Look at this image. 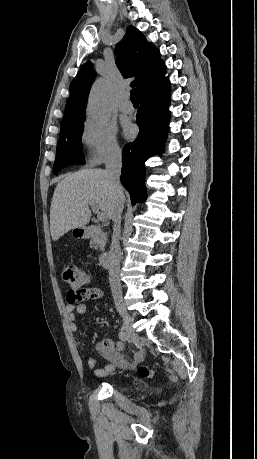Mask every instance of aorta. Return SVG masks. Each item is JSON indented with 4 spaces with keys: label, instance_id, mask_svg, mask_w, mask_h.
Wrapping results in <instances>:
<instances>
[{
    "label": "aorta",
    "instance_id": "1",
    "mask_svg": "<svg viewBox=\"0 0 257 459\" xmlns=\"http://www.w3.org/2000/svg\"><path fill=\"white\" fill-rule=\"evenodd\" d=\"M111 90L105 80L94 83L89 97L87 114L89 119L96 124H103L110 117Z\"/></svg>",
    "mask_w": 257,
    "mask_h": 459
}]
</instances>
